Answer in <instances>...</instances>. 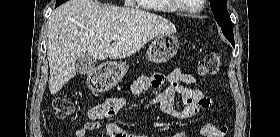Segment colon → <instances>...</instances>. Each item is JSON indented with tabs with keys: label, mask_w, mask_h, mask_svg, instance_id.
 Returning <instances> with one entry per match:
<instances>
[{
	"label": "colon",
	"mask_w": 280,
	"mask_h": 137,
	"mask_svg": "<svg viewBox=\"0 0 280 137\" xmlns=\"http://www.w3.org/2000/svg\"><path fill=\"white\" fill-rule=\"evenodd\" d=\"M221 66V59L217 53H208L201 60L198 71L203 77L216 75ZM127 98V97H126ZM53 109L59 119H66L72 115L75 106L72 102L64 97H58L53 100ZM227 134L226 126H214L205 128L202 132L204 137H225Z\"/></svg>",
	"instance_id": "colon-1"
}]
</instances>
